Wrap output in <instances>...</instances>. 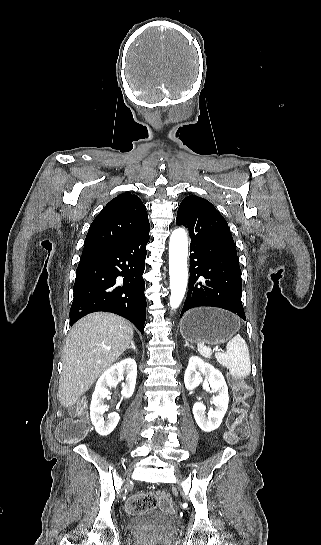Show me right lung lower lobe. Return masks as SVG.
<instances>
[{"label": "right lung lower lobe", "instance_id": "98d812e1", "mask_svg": "<svg viewBox=\"0 0 321 545\" xmlns=\"http://www.w3.org/2000/svg\"><path fill=\"white\" fill-rule=\"evenodd\" d=\"M149 238L148 231L125 244L82 255L76 270L70 325L89 313L107 311L130 320L144 333L142 275Z\"/></svg>", "mask_w": 321, "mask_h": 545}]
</instances>
